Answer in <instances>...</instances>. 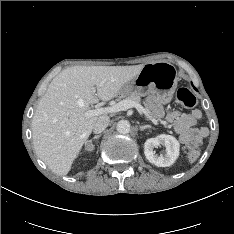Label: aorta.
<instances>
[{
    "mask_svg": "<svg viewBox=\"0 0 234 234\" xmlns=\"http://www.w3.org/2000/svg\"><path fill=\"white\" fill-rule=\"evenodd\" d=\"M130 122L127 121V120H120L118 123H117V126H116V129L119 133L121 134H127L130 132Z\"/></svg>",
    "mask_w": 234,
    "mask_h": 234,
    "instance_id": "aorta-1",
    "label": "aorta"
}]
</instances>
